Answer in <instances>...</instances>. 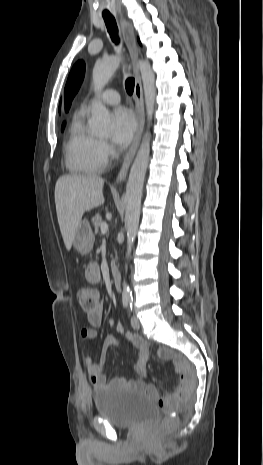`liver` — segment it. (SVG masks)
<instances>
[{"mask_svg":"<svg viewBox=\"0 0 263 465\" xmlns=\"http://www.w3.org/2000/svg\"><path fill=\"white\" fill-rule=\"evenodd\" d=\"M103 185L104 180L96 175H63L58 178L55 185L56 212L68 251L84 213L104 203Z\"/></svg>","mask_w":263,"mask_h":465,"instance_id":"1","label":"liver"}]
</instances>
